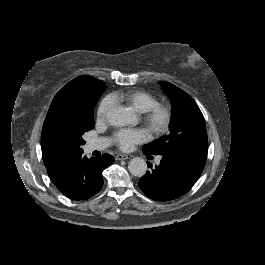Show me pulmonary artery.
Here are the masks:
<instances>
[{
  "instance_id": "1",
  "label": "pulmonary artery",
  "mask_w": 265,
  "mask_h": 265,
  "mask_svg": "<svg viewBox=\"0 0 265 265\" xmlns=\"http://www.w3.org/2000/svg\"><path fill=\"white\" fill-rule=\"evenodd\" d=\"M108 143L104 140H97V141H92L90 143V149L91 150H104L108 147ZM161 157H159L156 162L159 163L160 162Z\"/></svg>"
}]
</instances>
